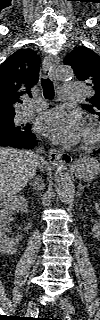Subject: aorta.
I'll use <instances>...</instances> for the list:
<instances>
[{
	"label": "aorta",
	"instance_id": "1",
	"mask_svg": "<svg viewBox=\"0 0 100 320\" xmlns=\"http://www.w3.org/2000/svg\"><path fill=\"white\" fill-rule=\"evenodd\" d=\"M56 77L60 81H70L74 77V72L71 66H59L56 71ZM55 188L58 197L64 202L72 201L74 192L72 180L65 163H60L55 172Z\"/></svg>",
	"mask_w": 100,
	"mask_h": 320
}]
</instances>
